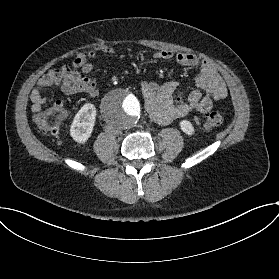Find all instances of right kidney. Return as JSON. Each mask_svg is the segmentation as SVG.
Returning a JSON list of instances; mask_svg holds the SVG:
<instances>
[{
	"label": "right kidney",
	"instance_id": "obj_1",
	"mask_svg": "<svg viewBox=\"0 0 279 279\" xmlns=\"http://www.w3.org/2000/svg\"><path fill=\"white\" fill-rule=\"evenodd\" d=\"M96 118V108L91 103L84 104L75 115L70 128L71 137L78 143H85L91 136Z\"/></svg>",
	"mask_w": 279,
	"mask_h": 279
}]
</instances>
